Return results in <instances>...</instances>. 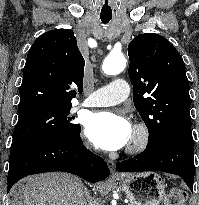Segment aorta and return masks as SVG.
Returning <instances> with one entry per match:
<instances>
[{
  "mask_svg": "<svg viewBox=\"0 0 199 205\" xmlns=\"http://www.w3.org/2000/svg\"><path fill=\"white\" fill-rule=\"evenodd\" d=\"M126 62L123 54H111L105 58L102 64V70L107 75H116L124 70Z\"/></svg>",
  "mask_w": 199,
  "mask_h": 205,
  "instance_id": "762f6f07",
  "label": "aorta"
}]
</instances>
